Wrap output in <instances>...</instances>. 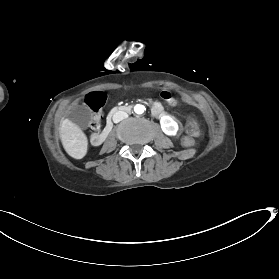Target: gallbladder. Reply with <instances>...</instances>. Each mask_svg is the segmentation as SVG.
Returning <instances> with one entry per match:
<instances>
[{
  "instance_id": "obj_1",
  "label": "gallbladder",
  "mask_w": 279,
  "mask_h": 279,
  "mask_svg": "<svg viewBox=\"0 0 279 279\" xmlns=\"http://www.w3.org/2000/svg\"><path fill=\"white\" fill-rule=\"evenodd\" d=\"M67 117L69 121L77 123L80 130L85 131L91 122L92 110L89 107L77 105L69 109Z\"/></svg>"
}]
</instances>
